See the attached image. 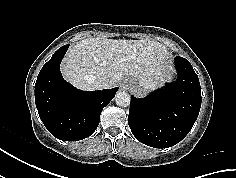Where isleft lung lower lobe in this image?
Instances as JSON below:
<instances>
[{"label": "left lung lower lobe", "instance_id": "obj_1", "mask_svg": "<svg viewBox=\"0 0 236 178\" xmlns=\"http://www.w3.org/2000/svg\"><path fill=\"white\" fill-rule=\"evenodd\" d=\"M178 79L145 98L131 96L128 124L143 144L168 148L191 130L201 107V88L191 64L175 58Z\"/></svg>", "mask_w": 236, "mask_h": 178}]
</instances>
